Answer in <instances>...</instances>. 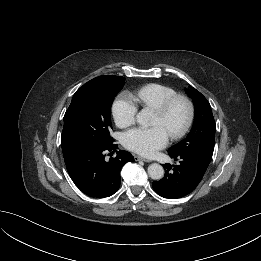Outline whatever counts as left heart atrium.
<instances>
[{
	"instance_id": "obj_1",
	"label": "left heart atrium",
	"mask_w": 261,
	"mask_h": 261,
	"mask_svg": "<svg viewBox=\"0 0 261 261\" xmlns=\"http://www.w3.org/2000/svg\"><path fill=\"white\" fill-rule=\"evenodd\" d=\"M168 141V134L161 126L133 128L123 135L124 146L140 155L152 156Z\"/></svg>"
}]
</instances>
